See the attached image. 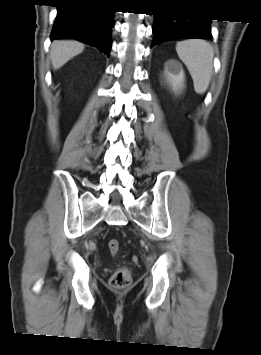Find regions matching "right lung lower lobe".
<instances>
[{
    "instance_id": "obj_1",
    "label": "right lung lower lobe",
    "mask_w": 261,
    "mask_h": 355,
    "mask_svg": "<svg viewBox=\"0 0 261 355\" xmlns=\"http://www.w3.org/2000/svg\"><path fill=\"white\" fill-rule=\"evenodd\" d=\"M103 0H61L51 40L70 38L102 49L109 56L114 11Z\"/></svg>"
}]
</instances>
